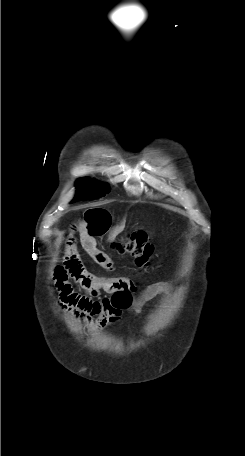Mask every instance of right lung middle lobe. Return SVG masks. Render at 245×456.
Wrapping results in <instances>:
<instances>
[{"instance_id": "obj_1", "label": "right lung middle lobe", "mask_w": 245, "mask_h": 456, "mask_svg": "<svg viewBox=\"0 0 245 456\" xmlns=\"http://www.w3.org/2000/svg\"><path fill=\"white\" fill-rule=\"evenodd\" d=\"M78 192L72 202L97 199L109 193V187L91 179H79L76 182Z\"/></svg>"}]
</instances>
